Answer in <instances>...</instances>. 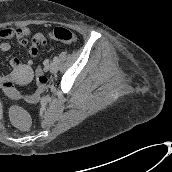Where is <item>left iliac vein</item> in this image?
Segmentation results:
<instances>
[{"label":"left iliac vein","mask_w":172,"mask_h":172,"mask_svg":"<svg viewBox=\"0 0 172 172\" xmlns=\"http://www.w3.org/2000/svg\"><path fill=\"white\" fill-rule=\"evenodd\" d=\"M47 69L51 72V73H56L58 70L57 64L55 62H51L48 66Z\"/></svg>","instance_id":"left-iliac-vein-1"}]
</instances>
